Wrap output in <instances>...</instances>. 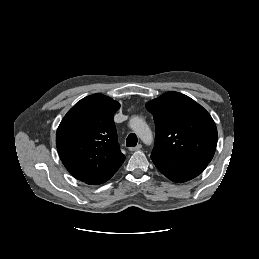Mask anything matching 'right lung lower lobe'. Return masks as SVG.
Returning <instances> with one entry per match:
<instances>
[{
	"instance_id": "98d812e1",
	"label": "right lung lower lobe",
	"mask_w": 259,
	"mask_h": 259,
	"mask_svg": "<svg viewBox=\"0 0 259 259\" xmlns=\"http://www.w3.org/2000/svg\"><path fill=\"white\" fill-rule=\"evenodd\" d=\"M115 172H113L112 174H110V175H108V176H106V177H104L100 180H96V181H93V182H90V183H87V184H92V185L102 184V183L106 182L107 180H109L114 175Z\"/></svg>"
}]
</instances>
